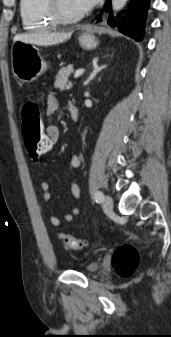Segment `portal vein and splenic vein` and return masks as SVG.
Masks as SVG:
<instances>
[{"instance_id": "obj_1", "label": "portal vein and splenic vein", "mask_w": 171, "mask_h": 337, "mask_svg": "<svg viewBox=\"0 0 171 337\" xmlns=\"http://www.w3.org/2000/svg\"><path fill=\"white\" fill-rule=\"evenodd\" d=\"M83 73H84V69H78V70L75 71V73H74V78L80 77Z\"/></svg>"}]
</instances>
